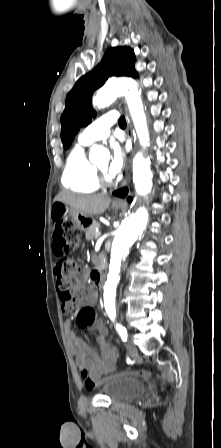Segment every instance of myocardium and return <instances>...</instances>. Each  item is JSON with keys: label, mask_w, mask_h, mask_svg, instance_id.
Segmentation results:
<instances>
[{"label": "myocardium", "mask_w": 221, "mask_h": 448, "mask_svg": "<svg viewBox=\"0 0 221 448\" xmlns=\"http://www.w3.org/2000/svg\"><path fill=\"white\" fill-rule=\"evenodd\" d=\"M98 175V181L102 183H110L111 179L105 174L103 170H101L99 167H95Z\"/></svg>", "instance_id": "myocardium-1"}]
</instances>
